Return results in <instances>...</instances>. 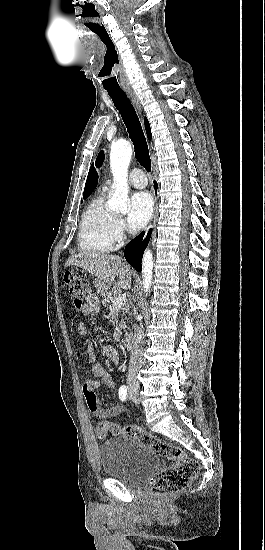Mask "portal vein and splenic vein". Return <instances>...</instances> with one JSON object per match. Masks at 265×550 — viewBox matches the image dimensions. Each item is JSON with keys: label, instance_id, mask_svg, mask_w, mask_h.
Returning <instances> with one entry per match:
<instances>
[{"label": "portal vein and splenic vein", "instance_id": "18ae733b", "mask_svg": "<svg viewBox=\"0 0 265 550\" xmlns=\"http://www.w3.org/2000/svg\"><path fill=\"white\" fill-rule=\"evenodd\" d=\"M126 302H127L126 298L119 296V297L115 298V300L113 301V304H114L115 307H121V306L125 305Z\"/></svg>", "mask_w": 265, "mask_h": 550}]
</instances>
